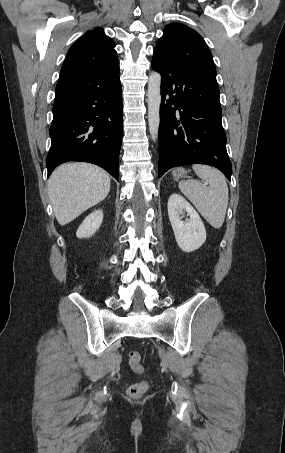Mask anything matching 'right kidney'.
Instances as JSON below:
<instances>
[{
	"instance_id": "1",
	"label": "right kidney",
	"mask_w": 285,
	"mask_h": 453,
	"mask_svg": "<svg viewBox=\"0 0 285 453\" xmlns=\"http://www.w3.org/2000/svg\"><path fill=\"white\" fill-rule=\"evenodd\" d=\"M102 221V210H95L84 219L77 229L76 236L78 238H88L92 236L100 228Z\"/></svg>"
}]
</instances>
